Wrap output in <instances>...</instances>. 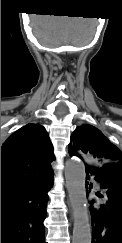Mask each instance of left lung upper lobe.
I'll return each instance as SVG.
<instances>
[{
    "label": "left lung upper lobe",
    "mask_w": 122,
    "mask_h": 243,
    "mask_svg": "<svg viewBox=\"0 0 122 243\" xmlns=\"http://www.w3.org/2000/svg\"><path fill=\"white\" fill-rule=\"evenodd\" d=\"M68 151L70 156L85 157L91 164L98 166L106 163L122 164V152L101 131L87 124L77 127L72 133Z\"/></svg>",
    "instance_id": "5c2ea615"
}]
</instances>
